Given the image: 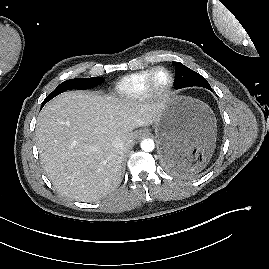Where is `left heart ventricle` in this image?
<instances>
[{"label":"left heart ventricle","instance_id":"left-heart-ventricle-1","mask_svg":"<svg viewBox=\"0 0 269 269\" xmlns=\"http://www.w3.org/2000/svg\"><path fill=\"white\" fill-rule=\"evenodd\" d=\"M168 81V76L165 72L161 71L156 76V85L158 87L164 86Z\"/></svg>","mask_w":269,"mask_h":269}]
</instances>
